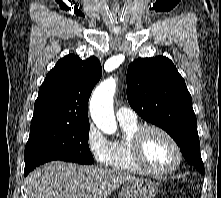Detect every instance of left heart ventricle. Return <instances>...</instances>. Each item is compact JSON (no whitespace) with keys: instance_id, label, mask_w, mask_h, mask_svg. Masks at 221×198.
Segmentation results:
<instances>
[{"instance_id":"b2bd125f","label":"left heart ventricle","mask_w":221,"mask_h":198,"mask_svg":"<svg viewBox=\"0 0 221 198\" xmlns=\"http://www.w3.org/2000/svg\"><path fill=\"white\" fill-rule=\"evenodd\" d=\"M144 156L149 165L167 169L176 162V151L172 143L161 133L149 132L144 140Z\"/></svg>"}]
</instances>
